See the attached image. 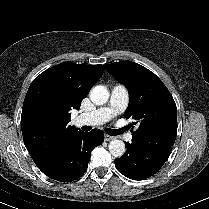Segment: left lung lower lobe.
I'll return each mask as SVG.
<instances>
[{
    "mask_svg": "<svg viewBox=\"0 0 209 209\" xmlns=\"http://www.w3.org/2000/svg\"><path fill=\"white\" fill-rule=\"evenodd\" d=\"M125 144L126 153L114 162L117 170L132 180H144L154 175L172 151L170 145L153 144L136 138L132 139V143Z\"/></svg>",
    "mask_w": 209,
    "mask_h": 209,
    "instance_id": "obj_1",
    "label": "left lung lower lobe"
}]
</instances>
